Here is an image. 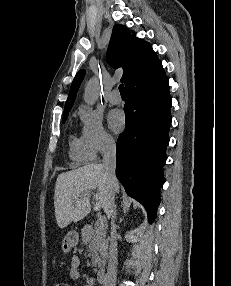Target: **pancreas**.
Wrapping results in <instances>:
<instances>
[{"mask_svg": "<svg viewBox=\"0 0 231 286\" xmlns=\"http://www.w3.org/2000/svg\"><path fill=\"white\" fill-rule=\"evenodd\" d=\"M106 234L105 228H98L96 225H85L81 230L82 243L87 245L95 271L104 266L107 258L108 239Z\"/></svg>", "mask_w": 231, "mask_h": 286, "instance_id": "cf45deb5", "label": "pancreas"}]
</instances>
